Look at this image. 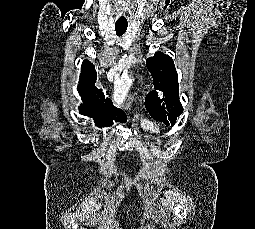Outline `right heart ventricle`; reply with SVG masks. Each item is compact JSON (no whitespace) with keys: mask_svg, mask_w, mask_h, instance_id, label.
<instances>
[{"mask_svg":"<svg viewBox=\"0 0 255 229\" xmlns=\"http://www.w3.org/2000/svg\"><path fill=\"white\" fill-rule=\"evenodd\" d=\"M145 128H147V129L152 128V125L146 123V124H145Z\"/></svg>","mask_w":255,"mask_h":229,"instance_id":"right-heart-ventricle-1","label":"right heart ventricle"}]
</instances>
